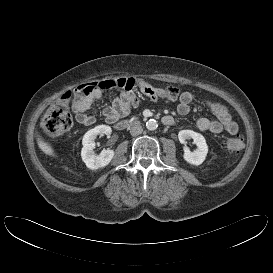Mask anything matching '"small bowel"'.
Masks as SVG:
<instances>
[{
  "instance_id": "small-bowel-1",
  "label": "small bowel",
  "mask_w": 273,
  "mask_h": 273,
  "mask_svg": "<svg viewBox=\"0 0 273 273\" xmlns=\"http://www.w3.org/2000/svg\"><path fill=\"white\" fill-rule=\"evenodd\" d=\"M138 89L151 100H157L161 97H166L162 90L153 87L145 80L139 79L136 82ZM101 93H97L92 97L76 99L73 104L76 121L84 126H90L95 123V118L87 113V110L93 103L101 99ZM194 100L193 93L189 91L183 92L179 97L177 105V113L181 116L187 115L190 112V105ZM138 104V98L133 91H122L113 100L112 104L103 109V114L106 120L112 123L113 120L127 116L131 109ZM205 106L215 116V119L201 117L197 119L196 126L201 131H209L212 133H221L222 131L234 135L238 132V125L232 119L229 110L222 104L207 100ZM168 120L167 125H172L174 119L172 116H165Z\"/></svg>"
}]
</instances>
